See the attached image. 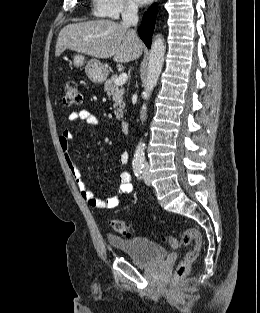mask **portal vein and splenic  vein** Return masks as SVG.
Returning a JSON list of instances; mask_svg holds the SVG:
<instances>
[{
  "label": "portal vein and splenic vein",
  "mask_w": 260,
  "mask_h": 313,
  "mask_svg": "<svg viewBox=\"0 0 260 313\" xmlns=\"http://www.w3.org/2000/svg\"><path fill=\"white\" fill-rule=\"evenodd\" d=\"M127 74L121 73L115 80V85H123L127 81Z\"/></svg>",
  "instance_id": "portal-vein-and-splenic-vein-1"
}]
</instances>
